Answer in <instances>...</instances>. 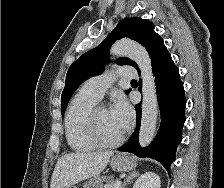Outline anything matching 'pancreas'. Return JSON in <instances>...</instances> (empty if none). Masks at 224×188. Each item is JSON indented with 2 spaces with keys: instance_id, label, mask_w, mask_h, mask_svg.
<instances>
[{
  "instance_id": "cf45deb5",
  "label": "pancreas",
  "mask_w": 224,
  "mask_h": 188,
  "mask_svg": "<svg viewBox=\"0 0 224 188\" xmlns=\"http://www.w3.org/2000/svg\"><path fill=\"white\" fill-rule=\"evenodd\" d=\"M106 182V184H103ZM114 180L111 176H95L92 179L86 181L83 188H108L109 185L113 184Z\"/></svg>"
}]
</instances>
